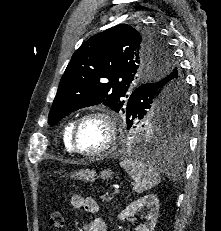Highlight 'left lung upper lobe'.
Listing matches in <instances>:
<instances>
[{
    "label": "left lung upper lobe",
    "instance_id": "5c2ea615",
    "mask_svg": "<svg viewBox=\"0 0 221 231\" xmlns=\"http://www.w3.org/2000/svg\"><path fill=\"white\" fill-rule=\"evenodd\" d=\"M158 82L160 88L144 93L139 104L128 102L136 84L143 88ZM182 83L170 47L158 31L119 24L94 35L74 52L48 123L56 124L79 108L103 103L123 111L127 118L131 112L137 119L152 115L157 128L183 132L188 126V99ZM172 85L176 86L170 88ZM174 99H179L178 107Z\"/></svg>",
    "mask_w": 221,
    "mask_h": 231
}]
</instances>
